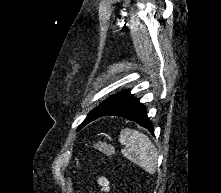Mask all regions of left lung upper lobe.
<instances>
[{
  "label": "left lung upper lobe",
  "instance_id": "1",
  "mask_svg": "<svg viewBox=\"0 0 221 193\" xmlns=\"http://www.w3.org/2000/svg\"><path fill=\"white\" fill-rule=\"evenodd\" d=\"M121 93H118L116 95H113L103 101L99 106H97L95 109L91 111V113L87 116V118L82 122L79 128L85 126L89 122L97 119L106 109L107 107L120 95Z\"/></svg>",
  "mask_w": 221,
  "mask_h": 193
}]
</instances>
